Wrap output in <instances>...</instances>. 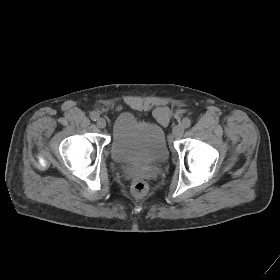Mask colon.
Returning a JSON list of instances; mask_svg holds the SVG:
<instances>
[{
	"label": "colon",
	"instance_id": "1",
	"mask_svg": "<svg viewBox=\"0 0 280 280\" xmlns=\"http://www.w3.org/2000/svg\"><path fill=\"white\" fill-rule=\"evenodd\" d=\"M131 191L134 196L142 197L147 193L148 185L144 180H135L131 186Z\"/></svg>",
	"mask_w": 280,
	"mask_h": 280
}]
</instances>
